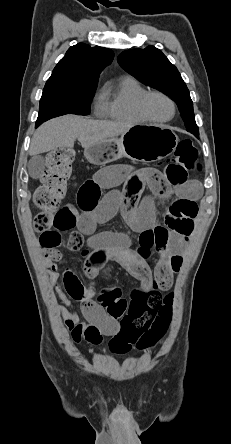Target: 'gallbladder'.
<instances>
[{"label":"gallbladder","mask_w":231,"mask_h":444,"mask_svg":"<svg viewBox=\"0 0 231 444\" xmlns=\"http://www.w3.org/2000/svg\"><path fill=\"white\" fill-rule=\"evenodd\" d=\"M44 168V159L40 155L33 156L28 163L29 175L34 179L38 178L43 173Z\"/></svg>","instance_id":"bac80fb5"}]
</instances>
